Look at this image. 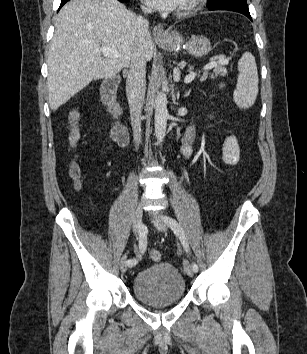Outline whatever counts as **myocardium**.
Instances as JSON below:
<instances>
[{
    "label": "myocardium",
    "mask_w": 307,
    "mask_h": 354,
    "mask_svg": "<svg viewBox=\"0 0 307 354\" xmlns=\"http://www.w3.org/2000/svg\"><path fill=\"white\" fill-rule=\"evenodd\" d=\"M203 2V0H187L183 7L180 8V15H187L195 11Z\"/></svg>",
    "instance_id": "f54148a6"
}]
</instances>
